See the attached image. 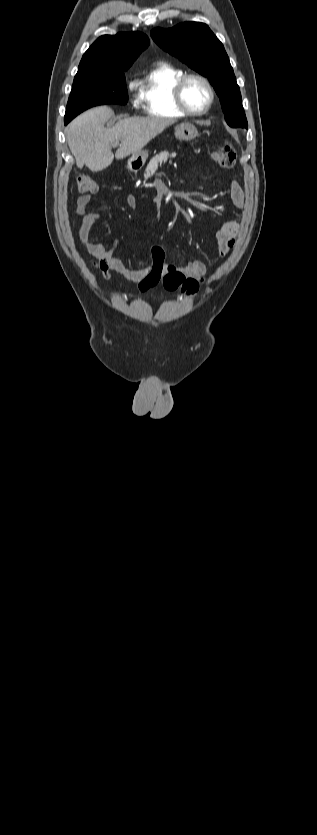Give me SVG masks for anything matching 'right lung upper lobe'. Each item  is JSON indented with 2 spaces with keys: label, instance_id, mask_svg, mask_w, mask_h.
Here are the masks:
<instances>
[{
  "label": "right lung upper lobe",
  "instance_id": "1",
  "mask_svg": "<svg viewBox=\"0 0 317 835\" xmlns=\"http://www.w3.org/2000/svg\"><path fill=\"white\" fill-rule=\"evenodd\" d=\"M148 45L149 39L140 32L103 35L85 52L78 71L109 72L128 69Z\"/></svg>",
  "mask_w": 317,
  "mask_h": 835
}]
</instances>
